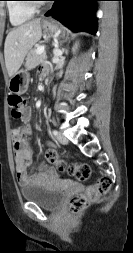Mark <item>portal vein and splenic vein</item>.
I'll list each match as a JSON object with an SVG mask.
<instances>
[{"label":"portal vein and splenic vein","instance_id":"portal-vein-and-splenic-vein-1","mask_svg":"<svg viewBox=\"0 0 133 253\" xmlns=\"http://www.w3.org/2000/svg\"><path fill=\"white\" fill-rule=\"evenodd\" d=\"M43 52H45V46H44V45L37 48V54L40 55V54H42Z\"/></svg>","mask_w":133,"mask_h":253}]
</instances>
